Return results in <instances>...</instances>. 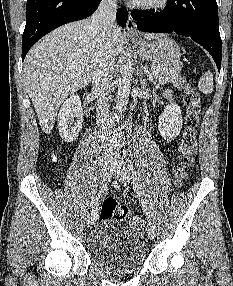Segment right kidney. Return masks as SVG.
<instances>
[{
  "label": "right kidney",
  "mask_w": 233,
  "mask_h": 286,
  "mask_svg": "<svg viewBox=\"0 0 233 286\" xmlns=\"http://www.w3.org/2000/svg\"><path fill=\"white\" fill-rule=\"evenodd\" d=\"M83 125L82 103L77 95H71L58 113V129L62 139L73 142Z\"/></svg>",
  "instance_id": "1"
}]
</instances>
